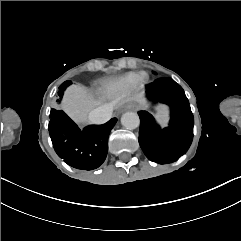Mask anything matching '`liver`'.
<instances>
[{
	"label": "liver",
	"mask_w": 241,
	"mask_h": 241,
	"mask_svg": "<svg viewBox=\"0 0 241 241\" xmlns=\"http://www.w3.org/2000/svg\"><path fill=\"white\" fill-rule=\"evenodd\" d=\"M127 102H141L140 96L135 95L127 98L123 103ZM117 100L112 102L115 105ZM99 105L98 102L93 101L92 97L77 86L70 87L62 103L63 110L77 122L87 119V114Z\"/></svg>",
	"instance_id": "liver-1"
}]
</instances>
